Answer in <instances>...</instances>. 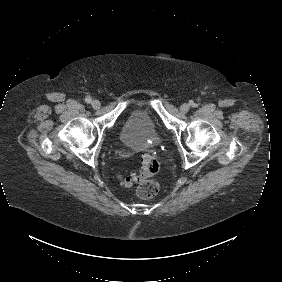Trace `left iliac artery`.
<instances>
[{"instance_id": "1", "label": "left iliac artery", "mask_w": 282, "mask_h": 282, "mask_svg": "<svg viewBox=\"0 0 282 282\" xmlns=\"http://www.w3.org/2000/svg\"><path fill=\"white\" fill-rule=\"evenodd\" d=\"M190 104H191V106H192V107H194V106H195V103H193V102H192V103H190Z\"/></svg>"}]
</instances>
